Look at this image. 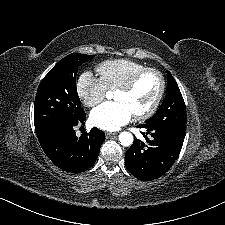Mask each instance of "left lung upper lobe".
<instances>
[{"label":"left lung upper lobe","mask_w":225,"mask_h":225,"mask_svg":"<svg viewBox=\"0 0 225 225\" xmlns=\"http://www.w3.org/2000/svg\"><path fill=\"white\" fill-rule=\"evenodd\" d=\"M154 126H172L186 130V107L180 89L171 73L167 72L166 96L154 116L146 121Z\"/></svg>","instance_id":"obj_1"}]
</instances>
